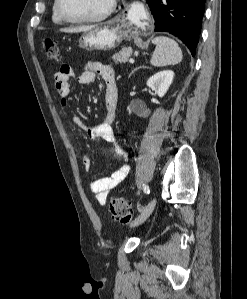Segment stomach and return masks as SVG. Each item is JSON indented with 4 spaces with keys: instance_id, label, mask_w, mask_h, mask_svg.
Returning a JSON list of instances; mask_svg holds the SVG:
<instances>
[{
    "instance_id": "obj_1",
    "label": "stomach",
    "mask_w": 247,
    "mask_h": 299,
    "mask_svg": "<svg viewBox=\"0 0 247 299\" xmlns=\"http://www.w3.org/2000/svg\"><path fill=\"white\" fill-rule=\"evenodd\" d=\"M126 37V31L118 21L96 25L79 39V47L91 50H110L117 47Z\"/></svg>"
}]
</instances>
